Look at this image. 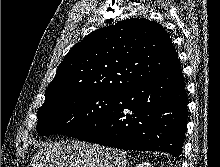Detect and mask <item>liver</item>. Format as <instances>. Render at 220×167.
<instances>
[{"mask_svg": "<svg viewBox=\"0 0 220 167\" xmlns=\"http://www.w3.org/2000/svg\"><path fill=\"white\" fill-rule=\"evenodd\" d=\"M124 151L79 141L41 144L29 167H126Z\"/></svg>", "mask_w": 220, "mask_h": 167, "instance_id": "6515ba94", "label": "liver"}]
</instances>
